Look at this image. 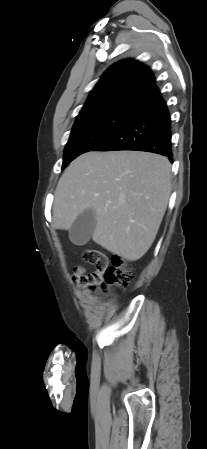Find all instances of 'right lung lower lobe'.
Listing matches in <instances>:
<instances>
[{
    "label": "right lung lower lobe",
    "mask_w": 207,
    "mask_h": 449,
    "mask_svg": "<svg viewBox=\"0 0 207 449\" xmlns=\"http://www.w3.org/2000/svg\"><path fill=\"white\" fill-rule=\"evenodd\" d=\"M171 119L162 98L144 106L91 151L136 150L157 153L172 162Z\"/></svg>",
    "instance_id": "98d812e1"
}]
</instances>
